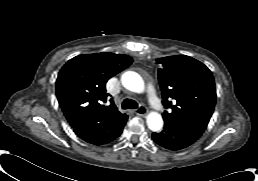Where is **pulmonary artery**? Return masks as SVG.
Listing matches in <instances>:
<instances>
[{"mask_svg": "<svg viewBox=\"0 0 258 181\" xmlns=\"http://www.w3.org/2000/svg\"><path fill=\"white\" fill-rule=\"evenodd\" d=\"M148 99L150 106L154 109H157V106L160 103V99L157 97L153 87L148 88Z\"/></svg>", "mask_w": 258, "mask_h": 181, "instance_id": "pulmonary-artery-1", "label": "pulmonary artery"}]
</instances>
